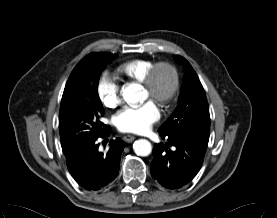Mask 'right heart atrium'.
Wrapping results in <instances>:
<instances>
[{
	"label": "right heart atrium",
	"instance_id": "right-heart-atrium-1",
	"mask_svg": "<svg viewBox=\"0 0 277 218\" xmlns=\"http://www.w3.org/2000/svg\"><path fill=\"white\" fill-rule=\"evenodd\" d=\"M98 92L108 106L116 105L121 98L119 85L108 75H103L98 84Z\"/></svg>",
	"mask_w": 277,
	"mask_h": 218
}]
</instances>
